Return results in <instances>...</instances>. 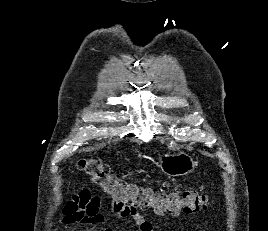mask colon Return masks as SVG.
I'll use <instances>...</instances> for the list:
<instances>
[{
  "label": "colon",
  "instance_id": "5ec220e1",
  "mask_svg": "<svg viewBox=\"0 0 268 231\" xmlns=\"http://www.w3.org/2000/svg\"><path fill=\"white\" fill-rule=\"evenodd\" d=\"M78 167L93 184L122 209L151 208L158 213L179 215L204 211L210 206V198L196 191L163 192L127 183L112 174L105 163L95 159H81Z\"/></svg>",
  "mask_w": 268,
  "mask_h": 231
}]
</instances>
